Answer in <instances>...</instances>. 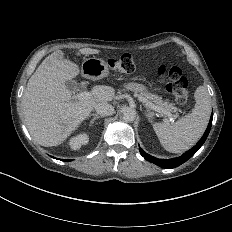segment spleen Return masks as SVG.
<instances>
[{
	"instance_id": "3e777b00",
	"label": "spleen",
	"mask_w": 232,
	"mask_h": 232,
	"mask_svg": "<svg viewBox=\"0 0 232 232\" xmlns=\"http://www.w3.org/2000/svg\"><path fill=\"white\" fill-rule=\"evenodd\" d=\"M196 105L191 113L170 123H153L160 145L169 152L179 153L191 148L203 134L211 113L207 90L199 86L195 91Z\"/></svg>"
}]
</instances>
